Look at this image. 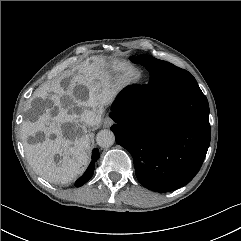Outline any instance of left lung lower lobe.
I'll use <instances>...</instances> for the list:
<instances>
[{"label":"left lung lower lobe","instance_id":"obj_1","mask_svg":"<svg viewBox=\"0 0 241 241\" xmlns=\"http://www.w3.org/2000/svg\"><path fill=\"white\" fill-rule=\"evenodd\" d=\"M111 110L116 142L131 153L143 186L169 192L198 173L211 138L209 105L199 87L172 95L166 78L152 73L147 85L123 89Z\"/></svg>","mask_w":241,"mask_h":241}]
</instances>
